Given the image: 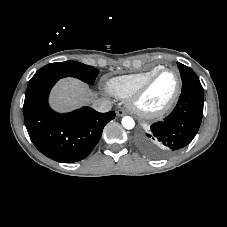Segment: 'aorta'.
I'll list each match as a JSON object with an SVG mask.
<instances>
[{
	"label": "aorta",
	"mask_w": 227,
	"mask_h": 227,
	"mask_svg": "<svg viewBox=\"0 0 227 227\" xmlns=\"http://www.w3.org/2000/svg\"><path fill=\"white\" fill-rule=\"evenodd\" d=\"M121 123L125 129H133L135 126V122L130 116L123 117Z\"/></svg>",
	"instance_id": "762f6f07"
}]
</instances>
